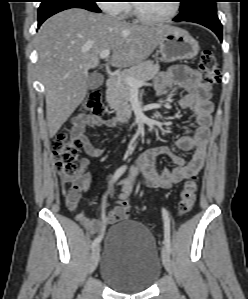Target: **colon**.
Here are the masks:
<instances>
[{
  "mask_svg": "<svg viewBox=\"0 0 248 299\" xmlns=\"http://www.w3.org/2000/svg\"><path fill=\"white\" fill-rule=\"evenodd\" d=\"M200 70L204 75V83L208 88L218 84L221 80V72L214 53L211 50H203L200 55ZM85 113L99 116L104 112L99 91H92L81 105ZM83 147V141L79 137H71L68 132L58 134L52 143L53 154L57 174L60 177L66 204L69 209L78 211L79 202L83 191V180L80 175V166L77 162V153ZM198 191L196 176L189 178L180 193L177 214L180 217L187 215L194 205ZM130 204L124 200L120 204L119 213L126 218Z\"/></svg>",
  "mask_w": 248,
  "mask_h": 299,
  "instance_id": "5ec220e1",
  "label": "colon"
}]
</instances>
